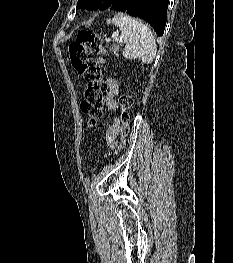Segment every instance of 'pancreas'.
I'll return each mask as SVG.
<instances>
[{"label":"pancreas","mask_w":233,"mask_h":263,"mask_svg":"<svg viewBox=\"0 0 233 263\" xmlns=\"http://www.w3.org/2000/svg\"><path fill=\"white\" fill-rule=\"evenodd\" d=\"M120 48V45L113 44L112 47H110V50L113 51L114 55L118 56V50Z\"/></svg>","instance_id":"pancreas-1"}]
</instances>
